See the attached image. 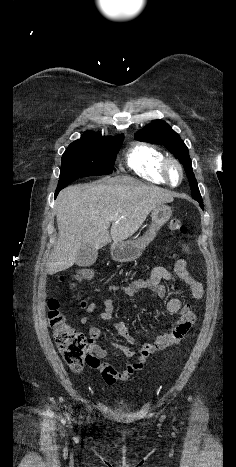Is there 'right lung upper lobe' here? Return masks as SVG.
Instances as JSON below:
<instances>
[{"label": "right lung upper lobe", "mask_w": 236, "mask_h": 467, "mask_svg": "<svg viewBox=\"0 0 236 467\" xmlns=\"http://www.w3.org/2000/svg\"><path fill=\"white\" fill-rule=\"evenodd\" d=\"M94 134L95 133H93V132H88V133L85 134V136L94 135Z\"/></svg>", "instance_id": "right-lung-upper-lobe-1"}]
</instances>
